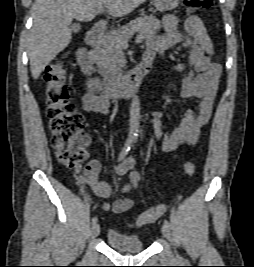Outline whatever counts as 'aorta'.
<instances>
[{
    "label": "aorta",
    "mask_w": 254,
    "mask_h": 267,
    "mask_svg": "<svg viewBox=\"0 0 254 267\" xmlns=\"http://www.w3.org/2000/svg\"><path fill=\"white\" fill-rule=\"evenodd\" d=\"M140 119V100L136 94L132 95L131 107H130V127L129 138L135 140L139 129Z\"/></svg>",
    "instance_id": "1"
}]
</instances>
